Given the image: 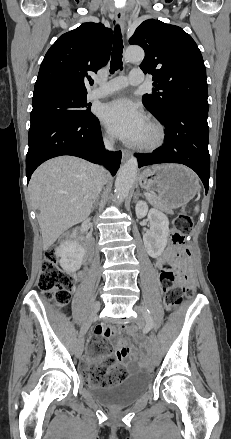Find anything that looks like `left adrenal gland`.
<instances>
[{
  "label": "left adrenal gland",
  "mask_w": 231,
  "mask_h": 439,
  "mask_svg": "<svg viewBox=\"0 0 231 439\" xmlns=\"http://www.w3.org/2000/svg\"><path fill=\"white\" fill-rule=\"evenodd\" d=\"M139 195L142 196V194L140 193V191L137 190V191H136V194H135V196H134V198L136 199V197L139 196Z\"/></svg>",
  "instance_id": "a2214340"
}]
</instances>
